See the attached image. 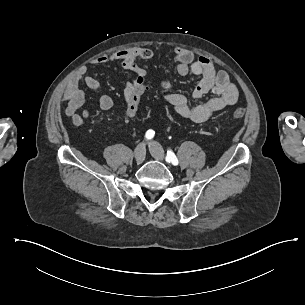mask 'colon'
<instances>
[{
    "mask_svg": "<svg viewBox=\"0 0 305 305\" xmlns=\"http://www.w3.org/2000/svg\"><path fill=\"white\" fill-rule=\"evenodd\" d=\"M143 92H144V88L141 85L136 86L135 88V92L130 93L129 98L130 100L127 101L126 106L127 108H129V110H127L126 112V116L129 119L134 118L135 116V112L133 109L138 108L139 103L138 101L142 100L143 98ZM246 114V110L244 108H238L235 109L232 113L234 118H241Z\"/></svg>",
    "mask_w": 305,
    "mask_h": 305,
    "instance_id": "1",
    "label": "colon"
}]
</instances>
